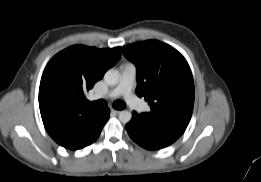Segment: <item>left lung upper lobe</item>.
Returning <instances> with one entry per match:
<instances>
[{
	"label": "left lung upper lobe",
	"mask_w": 261,
	"mask_h": 182,
	"mask_svg": "<svg viewBox=\"0 0 261 182\" xmlns=\"http://www.w3.org/2000/svg\"><path fill=\"white\" fill-rule=\"evenodd\" d=\"M137 68L136 93L151 111L139 116L148 124L184 132L194 105V82L185 58L173 47L157 40L122 47Z\"/></svg>",
	"instance_id": "1"
}]
</instances>
